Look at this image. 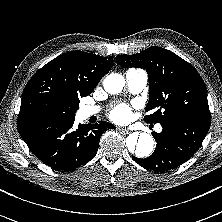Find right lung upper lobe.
Listing matches in <instances>:
<instances>
[{"instance_id":"cb5924a9","label":"right lung upper lobe","mask_w":222,"mask_h":222,"mask_svg":"<svg viewBox=\"0 0 222 222\" xmlns=\"http://www.w3.org/2000/svg\"><path fill=\"white\" fill-rule=\"evenodd\" d=\"M113 67V57L71 51L51 60L27 83L21 100L17 124L50 119L51 107L61 109L69 121L80 97L89 95L100 79ZM53 120V119H52Z\"/></svg>"}]
</instances>
